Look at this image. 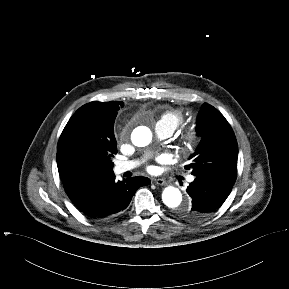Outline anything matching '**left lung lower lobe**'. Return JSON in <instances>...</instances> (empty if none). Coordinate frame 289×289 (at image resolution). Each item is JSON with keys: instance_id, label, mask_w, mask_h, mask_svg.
Returning a JSON list of instances; mask_svg holds the SVG:
<instances>
[{"instance_id": "1", "label": "left lung lower lobe", "mask_w": 289, "mask_h": 289, "mask_svg": "<svg viewBox=\"0 0 289 289\" xmlns=\"http://www.w3.org/2000/svg\"><path fill=\"white\" fill-rule=\"evenodd\" d=\"M233 183L215 177L199 176L187 187L192 206L188 219H201L220 207L231 192Z\"/></svg>"}]
</instances>
